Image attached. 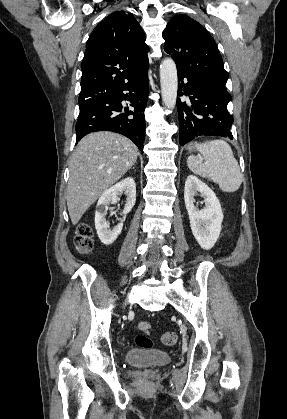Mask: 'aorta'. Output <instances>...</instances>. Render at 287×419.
<instances>
[{"mask_svg":"<svg viewBox=\"0 0 287 419\" xmlns=\"http://www.w3.org/2000/svg\"><path fill=\"white\" fill-rule=\"evenodd\" d=\"M160 84L163 104L173 109L177 100L178 77L176 64L171 58L163 60L160 65Z\"/></svg>","mask_w":287,"mask_h":419,"instance_id":"aorta-1","label":"aorta"}]
</instances>
